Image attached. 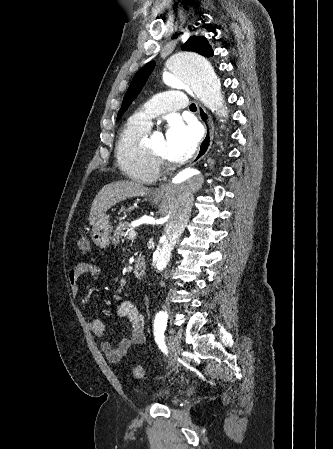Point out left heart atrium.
<instances>
[{
  "label": "left heart atrium",
  "instance_id": "39dd6f15",
  "mask_svg": "<svg viewBox=\"0 0 333 449\" xmlns=\"http://www.w3.org/2000/svg\"><path fill=\"white\" fill-rule=\"evenodd\" d=\"M199 140L197 128L174 119L166 131L167 156L173 162H183L196 150Z\"/></svg>",
  "mask_w": 333,
  "mask_h": 449
}]
</instances>
